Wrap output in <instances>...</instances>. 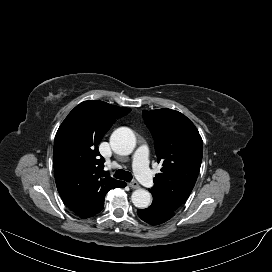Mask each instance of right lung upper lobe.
Segmentation results:
<instances>
[{
    "label": "right lung upper lobe",
    "mask_w": 272,
    "mask_h": 272,
    "mask_svg": "<svg viewBox=\"0 0 272 272\" xmlns=\"http://www.w3.org/2000/svg\"><path fill=\"white\" fill-rule=\"evenodd\" d=\"M131 111L94 100L76 106L60 125L54 141L53 165L58 192L79 217L103 209L106 193L121 181L103 171L104 158L97 145L116 119Z\"/></svg>",
    "instance_id": "obj_1"
}]
</instances>
